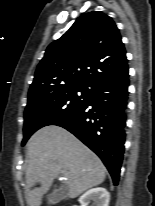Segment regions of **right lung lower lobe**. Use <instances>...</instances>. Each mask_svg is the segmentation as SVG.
Here are the masks:
<instances>
[{"mask_svg":"<svg viewBox=\"0 0 155 206\" xmlns=\"http://www.w3.org/2000/svg\"><path fill=\"white\" fill-rule=\"evenodd\" d=\"M128 68L96 89L92 98L77 111L53 125L63 127L95 152L118 184L123 160Z\"/></svg>","mask_w":155,"mask_h":206,"instance_id":"98d812e1","label":"right lung lower lobe"}]
</instances>
